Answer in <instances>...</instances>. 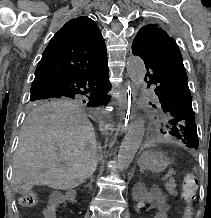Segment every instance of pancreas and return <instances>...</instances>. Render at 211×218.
<instances>
[{
    "label": "pancreas",
    "mask_w": 211,
    "mask_h": 218,
    "mask_svg": "<svg viewBox=\"0 0 211 218\" xmlns=\"http://www.w3.org/2000/svg\"><path fill=\"white\" fill-rule=\"evenodd\" d=\"M175 180H169L167 184H165V188L169 194H172V196H177V192H175L176 184H174Z\"/></svg>",
    "instance_id": "pancreas-1"
}]
</instances>
